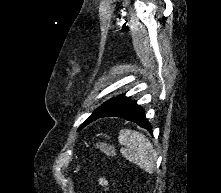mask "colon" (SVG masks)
I'll return each mask as SVG.
<instances>
[{"label": "colon", "mask_w": 221, "mask_h": 193, "mask_svg": "<svg viewBox=\"0 0 221 193\" xmlns=\"http://www.w3.org/2000/svg\"><path fill=\"white\" fill-rule=\"evenodd\" d=\"M95 148L102 151L103 153H105L109 156H114L115 155L114 148L109 144L99 143V144L95 145Z\"/></svg>", "instance_id": "colon-1"}]
</instances>
